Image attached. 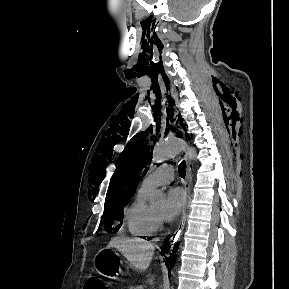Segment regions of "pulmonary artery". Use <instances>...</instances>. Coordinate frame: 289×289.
<instances>
[{"label":"pulmonary artery","instance_id":"e3ab8cb5","mask_svg":"<svg viewBox=\"0 0 289 289\" xmlns=\"http://www.w3.org/2000/svg\"><path fill=\"white\" fill-rule=\"evenodd\" d=\"M174 179V170L171 165L163 164L149 173L141 182L140 189L150 191L151 189L168 184Z\"/></svg>","mask_w":289,"mask_h":289}]
</instances>
